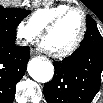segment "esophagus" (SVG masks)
Returning <instances> with one entry per match:
<instances>
[{
	"label": "esophagus",
	"mask_w": 103,
	"mask_h": 103,
	"mask_svg": "<svg viewBox=\"0 0 103 103\" xmlns=\"http://www.w3.org/2000/svg\"><path fill=\"white\" fill-rule=\"evenodd\" d=\"M31 55L32 56H36L37 55L36 51L35 50H31Z\"/></svg>",
	"instance_id": "34e87169"
}]
</instances>
